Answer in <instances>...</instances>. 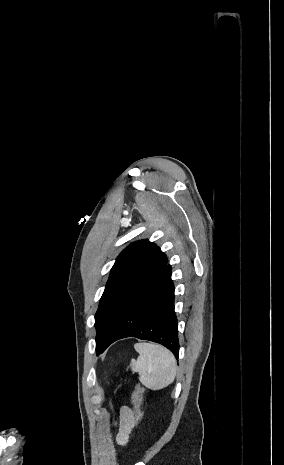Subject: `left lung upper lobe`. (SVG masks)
Segmentation results:
<instances>
[{
    "label": "left lung upper lobe",
    "mask_w": 284,
    "mask_h": 465,
    "mask_svg": "<svg viewBox=\"0 0 284 465\" xmlns=\"http://www.w3.org/2000/svg\"><path fill=\"white\" fill-rule=\"evenodd\" d=\"M167 256L147 239L125 248L114 263L95 314L96 353L124 306L166 266Z\"/></svg>",
    "instance_id": "left-lung-upper-lobe-1"
}]
</instances>
